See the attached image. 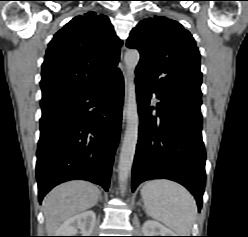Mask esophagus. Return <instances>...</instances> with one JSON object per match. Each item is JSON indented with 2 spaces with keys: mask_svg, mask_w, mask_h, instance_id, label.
<instances>
[{
  "mask_svg": "<svg viewBox=\"0 0 248 237\" xmlns=\"http://www.w3.org/2000/svg\"><path fill=\"white\" fill-rule=\"evenodd\" d=\"M124 79H125V85L127 88L128 84H129V75L126 71H124ZM126 97L127 96H125V104H124V108H123V123L126 122V118H127Z\"/></svg>",
  "mask_w": 248,
  "mask_h": 237,
  "instance_id": "1",
  "label": "esophagus"
}]
</instances>
